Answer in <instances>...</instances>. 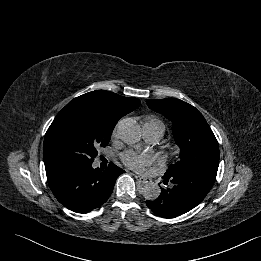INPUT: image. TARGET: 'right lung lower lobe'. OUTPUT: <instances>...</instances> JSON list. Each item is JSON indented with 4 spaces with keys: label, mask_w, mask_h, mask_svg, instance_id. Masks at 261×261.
Listing matches in <instances>:
<instances>
[{
    "label": "right lung lower lobe",
    "mask_w": 261,
    "mask_h": 261,
    "mask_svg": "<svg viewBox=\"0 0 261 261\" xmlns=\"http://www.w3.org/2000/svg\"><path fill=\"white\" fill-rule=\"evenodd\" d=\"M125 171L110 164L102 171L92 162H77L46 168L47 181L56 199L68 209L87 213L110 197L119 175Z\"/></svg>",
    "instance_id": "obj_1"
}]
</instances>
